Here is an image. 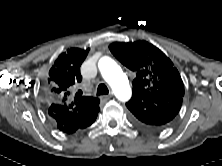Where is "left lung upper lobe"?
Instances as JSON below:
<instances>
[{
  "label": "left lung upper lobe",
  "instance_id": "5c2ea615",
  "mask_svg": "<svg viewBox=\"0 0 222 166\" xmlns=\"http://www.w3.org/2000/svg\"><path fill=\"white\" fill-rule=\"evenodd\" d=\"M112 54L136 72L133 95L153 98L159 94L184 96V84L172 61L157 47L146 42H114Z\"/></svg>",
  "mask_w": 222,
  "mask_h": 166
}]
</instances>
